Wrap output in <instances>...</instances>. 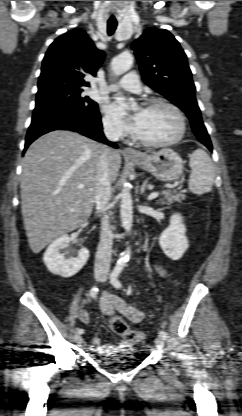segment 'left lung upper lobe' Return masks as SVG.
Returning <instances> with one entry per match:
<instances>
[{
  "instance_id": "left-lung-upper-lobe-1",
  "label": "left lung upper lobe",
  "mask_w": 242,
  "mask_h": 416,
  "mask_svg": "<svg viewBox=\"0 0 242 416\" xmlns=\"http://www.w3.org/2000/svg\"><path fill=\"white\" fill-rule=\"evenodd\" d=\"M132 49L144 82L185 112L200 142L209 139L195 98L187 56L174 36L165 29H146L132 43Z\"/></svg>"
}]
</instances>
